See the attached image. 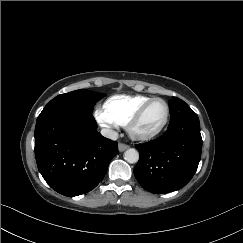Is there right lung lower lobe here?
I'll list each match as a JSON object with an SVG mask.
<instances>
[{"instance_id": "obj_1", "label": "right lung lower lobe", "mask_w": 243, "mask_h": 243, "mask_svg": "<svg viewBox=\"0 0 243 243\" xmlns=\"http://www.w3.org/2000/svg\"><path fill=\"white\" fill-rule=\"evenodd\" d=\"M96 130L92 115L73 110H54L38 116L37 166L58 193L69 197L85 194L104 178L118 147Z\"/></svg>"}]
</instances>
